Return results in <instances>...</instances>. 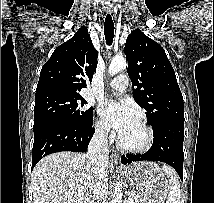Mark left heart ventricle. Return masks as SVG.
Instances as JSON below:
<instances>
[{
    "label": "left heart ventricle",
    "mask_w": 214,
    "mask_h": 203,
    "mask_svg": "<svg viewBox=\"0 0 214 203\" xmlns=\"http://www.w3.org/2000/svg\"><path fill=\"white\" fill-rule=\"evenodd\" d=\"M122 140L128 145H139L145 140V132L139 122L121 134Z\"/></svg>",
    "instance_id": "1"
}]
</instances>
